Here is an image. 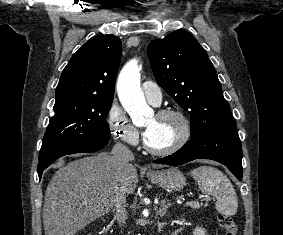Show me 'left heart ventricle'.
I'll use <instances>...</instances> for the list:
<instances>
[{"instance_id": "b2bd125f", "label": "left heart ventricle", "mask_w": 283, "mask_h": 235, "mask_svg": "<svg viewBox=\"0 0 283 235\" xmlns=\"http://www.w3.org/2000/svg\"><path fill=\"white\" fill-rule=\"evenodd\" d=\"M151 130L147 142L156 149H164L172 145L181 133V123L174 117H150L143 125Z\"/></svg>"}]
</instances>
